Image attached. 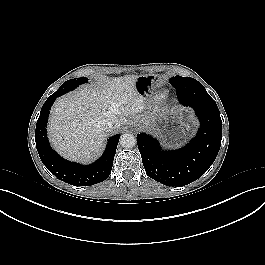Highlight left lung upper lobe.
Returning a JSON list of instances; mask_svg holds the SVG:
<instances>
[{
  "instance_id": "obj_1",
  "label": "left lung upper lobe",
  "mask_w": 265,
  "mask_h": 265,
  "mask_svg": "<svg viewBox=\"0 0 265 265\" xmlns=\"http://www.w3.org/2000/svg\"><path fill=\"white\" fill-rule=\"evenodd\" d=\"M186 81V80H193V78H186V77H181V76H175L170 79V82H180V81ZM195 80V79H194ZM210 99H212L209 95H207Z\"/></svg>"
}]
</instances>
